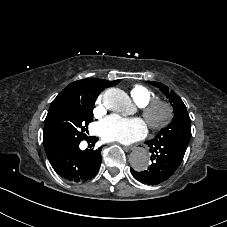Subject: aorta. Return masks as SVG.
<instances>
[{
	"label": "aorta",
	"mask_w": 227,
	"mask_h": 227,
	"mask_svg": "<svg viewBox=\"0 0 227 227\" xmlns=\"http://www.w3.org/2000/svg\"><path fill=\"white\" fill-rule=\"evenodd\" d=\"M127 100V94L117 88L107 90L103 96V102L107 108H120V105ZM149 162V156L144 149H137L131 154L130 165L136 171L146 170Z\"/></svg>",
	"instance_id": "1"
}]
</instances>
